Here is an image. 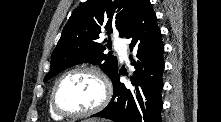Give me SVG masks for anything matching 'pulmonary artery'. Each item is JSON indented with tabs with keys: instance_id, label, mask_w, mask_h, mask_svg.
<instances>
[{
	"instance_id": "e3ab8cb5",
	"label": "pulmonary artery",
	"mask_w": 221,
	"mask_h": 122,
	"mask_svg": "<svg viewBox=\"0 0 221 122\" xmlns=\"http://www.w3.org/2000/svg\"><path fill=\"white\" fill-rule=\"evenodd\" d=\"M114 47L119 53L122 60L127 59V45L126 42L123 39H115L114 40Z\"/></svg>"
}]
</instances>
